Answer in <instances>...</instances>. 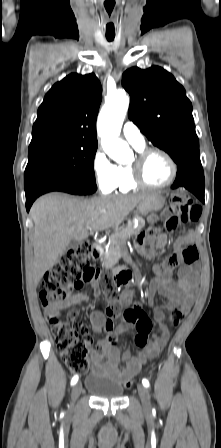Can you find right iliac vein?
Here are the masks:
<instances>
[{
  "label": "right iliac vein",
  "mask_w": 221,
  "mask_h": 448,
  "mask_svg": "<svg viewBox=\"0 0 221 448\" xmlns=\"http://www.w3.org/2000/svg\"><path fill=\"white\" fill-rule=\"evenodd\" d=\"M82 391V384L80 382H78L77 384L74 385L73 389H72V400L73 402L76 401V399L79 397L80 393Z\"/></svg>",
  "instance_id": "right-iliac-vein-1"
}]
</instances>
